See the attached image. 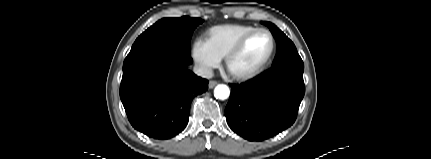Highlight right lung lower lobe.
<instances>
[{
    "instance_id": "98d812e1",
    "label": "right lung lower lobe",
    "mask_w": 431,
    "mask_h": 159,
    "mask_svg": "<svg viewBox=\"0 0 431 159\" xmlns=\"http://www.w3.org/2000/svg\"><path fill=\"white\" fill-rule=\"evenodd\" d=\"M189 53L165 43L130 51L124 60L120 98L131 125L154 139L182 132L194 97L208 89V80L188 70Z\"/></svg>"
}]
</instances>
